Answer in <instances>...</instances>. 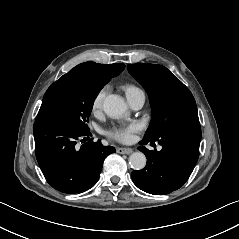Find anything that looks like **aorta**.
I'll use <instances>...</instances> for the list:
<instances>
[{
    "label": "aorta",
    "instance_id": "obj_1",
    "mask_svg": "<svg viewBox=\"0 0 239 239\" xmlns=\"http://www.w3.org/2000/svg\"><path fill=\"white\" fill-rule=\"evenodd\" d=\"M104 112L113 119L124 118L128 115V106L124 99L115 94L108 95L103 103ZM131 166L140 170L146 165V156L142 152H134L129 157Z\"/></svg>",
    "mask_w": 239,
    "mask_h": 239
}]
</instances>
